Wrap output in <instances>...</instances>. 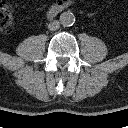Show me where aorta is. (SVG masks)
Wrapping results in <instances>:
<instances>
[{
	"mask_svg": "<svg viewBox=\"0 0 128 128\" xmlns=\"http://www.w3.org/2000/svg\"><path fill=\"white\" fill-rule=\"evenodd\" d=\"M60 23L64 27L72 26L75 22V16L71 11H66L60 15Z\"/></svg>",
	"mask_w": 128,
	"mask_h": 128,
	"instance_id": "1",
	"label": "aorta"
}]
</instances>
